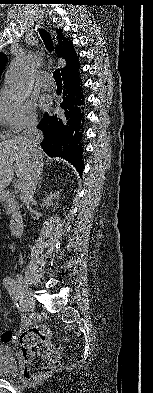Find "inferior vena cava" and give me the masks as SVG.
Instances as JSON below:
<instances>
[{"mask_svg": "<svg viewBox=\"0 0 153 393\" xmlns=\"http://www.w3.org/2000/svg\"><path fill=\"white\" fill-rule=\"evenodd\" d=\"M42 140L43 133L37 128L36 124L31 126L27 132V141L32 153L37 155V157L33 160L34 167L31 173L26 177L21 186L20 199L22 202L33 198L38 181L41 179L42 162L45 160L44 155L41 153V146L39 145Z\"/></svg>", "mask_w": 153, "mask_h": 393, "instance_id": "1", "label": "inferior vena cava"}]
</instances>
